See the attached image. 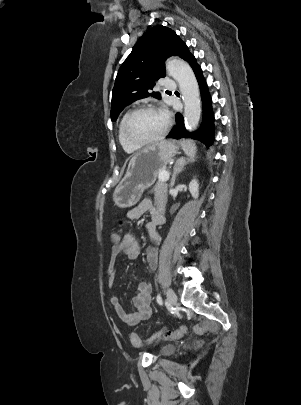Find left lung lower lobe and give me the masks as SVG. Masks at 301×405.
<instances>
[{
  "label": "left lung lower lobe",
  "mask_w": 301,
  "mask_h": 405,
  "mask_svg": "<svg viewBox=\"0 0 301 405\" xmlns=\"http://www.w3.org/2000/svg\"><path fill=\"white\" fill-rule=\"evenodd\" d=\"M187 62L192 67L197 81L199 83L202 105H203V120L200 129L196 132L189 133L184 127L183 116L179 113L175 115L176 125L166 138H192L203 142L207 147L211 146L214 142V114L211 107V97L208 92L206 82L202 75V70L196 62L194 55H190Z\"/></svg>",
  "instance_id": "1"
}]
</instances>
